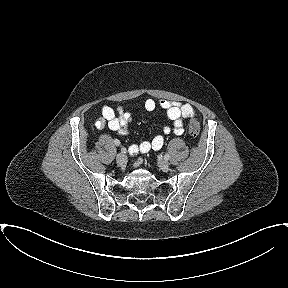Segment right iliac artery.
I'll list each match as a JSON object with an SVG mask.
<instances>
[{"label":"right iliac artery","mask_w":288,"mask_h":288,"mask_svg":"<svg viewBox=\"0 0 288 288\" xmlns=\"http://www.w3.org/2000/svg\"><path fill=\"white\" fill-rule=\"evenodd\" d=\"M114 144H115L116 146H119V145H120V141H119L118 139H115V140H114Z\"/></svg>","instance_id":"obj_1"}]
</instances>
